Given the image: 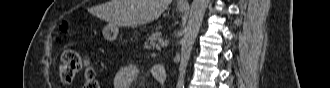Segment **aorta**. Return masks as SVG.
I'll list each match as a JSON object with an SVG mask.
<instances>
[{"mask_svg": "<svg viewBox=\"0 0 330 88\" xmlns=\"http://www.w3.org/2000/svg\"><path fill=\"white\" fill-rule=\"evenodd\" d=\"M208 4L209 0H193L191 4L188 22L181 40V61L179 65L177 88H184L186 68L190 59L191 50L201 27Z\"/></svg>", "mask_w": 330, "mask_h": 88, "instance_id": "762f6f07", "label": "aorta"}]
</instances>
